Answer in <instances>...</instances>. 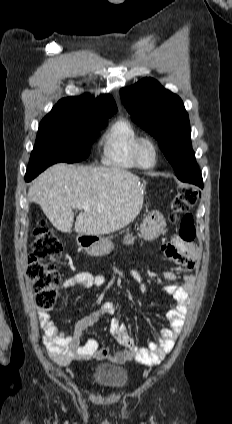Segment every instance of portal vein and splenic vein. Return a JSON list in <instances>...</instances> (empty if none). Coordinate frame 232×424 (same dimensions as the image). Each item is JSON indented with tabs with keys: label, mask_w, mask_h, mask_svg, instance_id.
<instances>
[{
	"label": "portal vein and splenic vein",
	"mask_w": 232,
	"mask_h": 424,
	"mask_svg": "<svg viewBox=\"0 0 232 424\" xmlns=\"http://www.w3.org/2000/svg\"><path fill=\"white\" fill-rule=\"evenodd\" d=\"M83 210H85V211H90L91 210V207L89 206V205H87V204H85V205H82V207H81Z\"/></svg>",
	"instance_id": "1"
}]
</instances>
